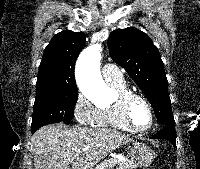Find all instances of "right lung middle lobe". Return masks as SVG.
I'll return each mask as SVG.
<instances>
[{
    "instance_id": "1",
    "label": "right lung middle lobe",
    "mask_w": 200,
    "mask_h": 169,
    "mask_svg": "<svg viewBox=\"0 0 200 169\" xmlns=\"http://www.w3.org/2000/svg\"><path fill=\"white\" fill-rule=\"evenodd\" d=\"M78 89L54 92H37L35 97L31 129L46 124L64 122L68 124L74 115Z\"/></svg>"
}]
</instances>
